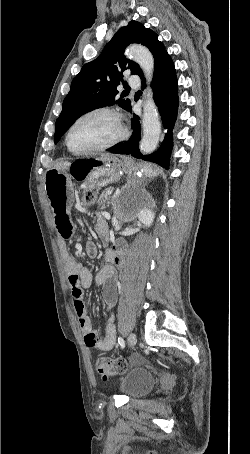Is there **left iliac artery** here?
<instances>
[{
    "label": "left iliac artery",
    "instance_id": "1",
    "mask_svg": "<svg viewBox=\"0 0 250 454\" xmlns=\"http://www.w3.org/2000/svg\"><path fill=\"white\" fill-rule=\"evenodd\" d=\"M118 343L120 344V346L123 348L125 346V341L122 337H118Z\"/></svg>",
    "mask_w": 250,
    "mask_h": 454
}]
</instances>
